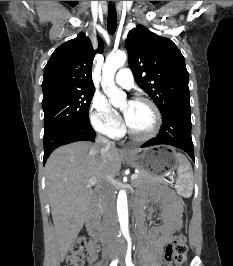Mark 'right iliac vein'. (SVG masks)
Here are the masks:
<instances>
[{
    "label": "right iliac vein",
    "instance_id": "63e3f726",
    "mask_svg": "<svg viewBox=\"0 0 233 266\" xmlns=\"http://www.w3.org/2000/svg\"><path fill=\"white\" fill-rule=\"evenodd\" d=\"M116 256V251L112 250L109 252V257L113 259Z\"/></svg>",
    "mask_w": 233,
    "mask_h": 266
}]
</instances>
